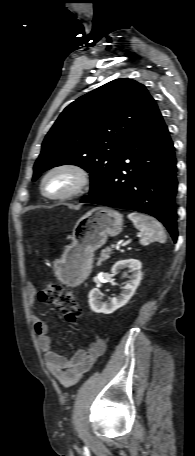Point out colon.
<instances>
[{"label": "colon", "mask_w": 195, "mask_h": 456, "mask_svg": "<svg viewBox=\"0 0 195 456\" xmlns=\"http://www.w3.org/2000/svg\"><path fill=\"white\" fill-rule=\"evenodd\" d=\"M38 297L41 302L56 306L69 323H77L81 313L80 307L73 293L62 285L48 281L40 290Z\"/></svg>", "instance_id": "colon-1"}]
</instances>
